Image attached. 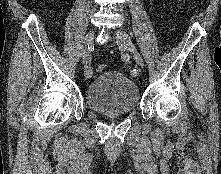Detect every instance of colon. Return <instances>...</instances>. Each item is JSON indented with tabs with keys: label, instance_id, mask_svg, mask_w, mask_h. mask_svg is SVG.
Listing matches in <instances>:
<instances>
[{
	"label": "colon",
	"instance_id": "obj_1",
	"mask_svg": "<svg viewBox=\"0 0 221 174\" xmlns=\"http://www.w3.org/2000/svg\"><path fill=\"white\" fill-rule=\"evenodd\" d=\"M105 70V65L104 64H99L97 67H96V71L97 72H103Z\"/></svg>",
	"mask_w": 221,
	"mask_h": 174
}]
</instances>
